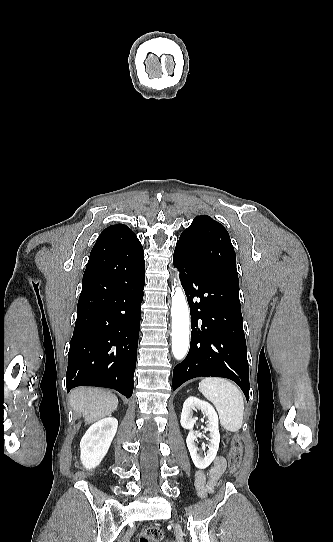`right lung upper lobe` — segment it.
Returning a JSON list of instances; mask_svg holds the SVG:
<instances>
[{
	"instance_id": "right-lung-upper-lobe-1",
	"label": "right lung upper lobe",
	"mask_w": 333,
	"mask_h": 542,
	"mask_svg": "<svg viewBox=\"0 0 333 542\" xmlns=\"http://www.w3.org/2000/svg\"><path fill=\"white\" fill-rule=\"evenodd\" d=\"M138 240L135 233L126 225L115 224L107 227L98 237L91 252L111 249L115 246Z\"/></svg>"
}]
</instances>
